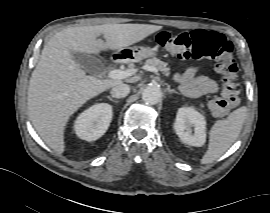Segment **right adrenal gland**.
Masks as SVG:
<instances>
[{"label":"right adrenal gland","instance_id":"2a0ac1e0","mask_svg":"<svg viewBox=\"0 0 270 213\" xmlns=\"http://www.w3.org/2000/svg\"><path fill=\"white\" fill-rule=\"evenodd\" d=\"M108 99L114 103H118V100L113 99L111 96H108Z\"/></svg>","mask_w":270,"mask_h":213}]
</instances>
